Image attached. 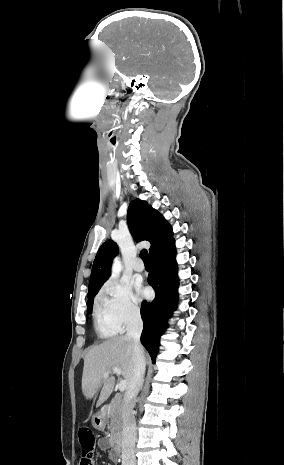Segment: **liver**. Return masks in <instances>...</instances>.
Wrapping results in <instances>:
<instances>
[{
  "label": "liver",
  "instance_id": "6515ba94",
  "mask_svg": "<svg viewBox=\"0 0 284 465\" xmlns=\"http://www.w3.org/2000/svg\"><path fill=\"white\" fill-rule=\"evenodd\" d=\"M119 367L127 383H131L133 371V341L128 337H112L97 347H92L85 355L82 393L86 399H93L100 391L96 407L107 401L114 391L115 377L111 369ZM103 377V373H108Z\"/></svg>",
  "mask_w": 284,
  "mask_h": 465
}]
</instances>
